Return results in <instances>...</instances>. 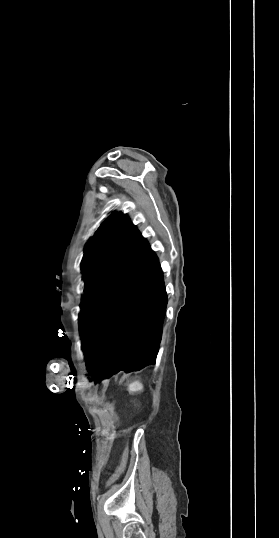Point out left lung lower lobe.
<instances>
[{"instance_id":"obj_1","label":"left lung lower lobe","mask_w":279,"mask_h":538,"mask_svg":"<svg viewBox=\"0 0 279 538\" xmlns=\"http://www.w3.org/2000/svg\"><path fill=\"white\" fill-rule=\"evenodd\" d=\"M166 306L160 264L144 240L79 317L91 376L99 380L154 364Z\"/></svg>"}]
</instances>
